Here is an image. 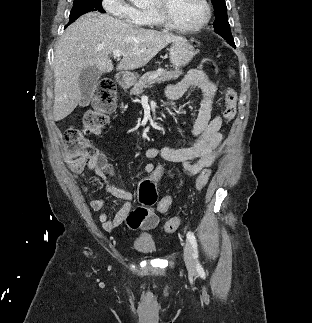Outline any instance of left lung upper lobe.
<instances>
[{
	"mask_svg": "<svg viewBox=\"0 0 312 323\" xmlns=\"http://www.w3.org/2000/svg\"><path fill=\"white\" fill-rule=\"evenodd\" d=\"M214 5L216 19L214 21L215 32L225 38L229 44L235 46L234 39L231 34L230 25L227 17V7L225 0H211Z\"/></svg>",
	"mask_w": 312,
	"mask_h": 323,
	"instance_id": "5c2ea615",
	"label": "left lung upper lobe"
}]
</instances>
